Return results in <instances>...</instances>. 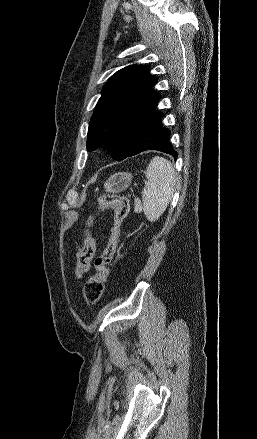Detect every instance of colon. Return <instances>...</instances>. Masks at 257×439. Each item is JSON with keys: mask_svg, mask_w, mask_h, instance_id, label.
Listing matches in <instances>:
<instances>
[{"mask_svg": "<svg viewBox=\"0 0 257 439\" xmlns=\"http://www.w3.org/2000/svg\"><path fill=\"white\" fill-rule=\"evenodd\" d=\"M110 208L114 210L110 237L103 252L95 259V273L86 281L83 289L84 298L90 305L97 303L104 293L109 265L118 245L123 221L129 212V202L126 197L108 194L98 199V207L87 219L83 244L77 252L75 276L81 279L90 269L96 250L90 227L99 213Z\"/></svg>", "mask_w": 257, "mask_h": 439, "instance_id": "obj_1", "label": "colon"}]
</instances>
